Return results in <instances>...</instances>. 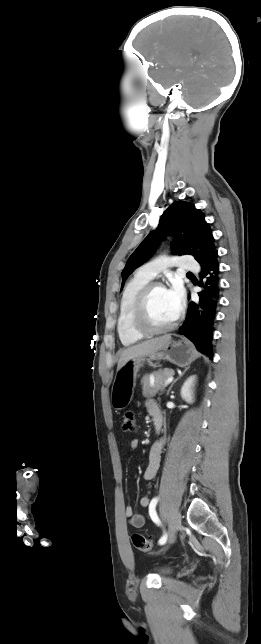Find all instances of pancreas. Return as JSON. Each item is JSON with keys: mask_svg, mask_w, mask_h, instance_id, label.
<instances>
[{"mask_svg": "<svg viewBox=\"0 0 261 644\" xmlns=\"http://www.w3.org/2000/svg\"><path fill=\"white\" fill-rule=\"evenodd\" d=\"M173 375V369L165 368L163 370L153 372L151 375L143 376L141 380L143 396L145 398L154 397L158 392H163L165 381ZM151 378L154 379L153 386L151 385Z\"/></svg>", "mask_w": 261, "mask_h": 644, "instance_id": "obj_1", "label": "pancreas"}]
</instances>
